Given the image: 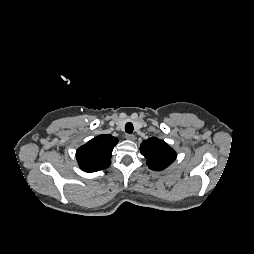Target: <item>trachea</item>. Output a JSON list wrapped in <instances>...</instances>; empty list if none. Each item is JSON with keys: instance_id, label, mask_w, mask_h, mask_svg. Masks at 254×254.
I'll return each instance as SVG.
<instances>
[{"instance_id": "1", "label": "trachea", "mask_w": 254, "mask_h": 254, "mask_svg": "<svg viewBox=\"0 0 254 254\" xmlns=\"http://www.w3.org/2000/svg\"><path fill=\"white\" fill-rule=\"evenodd\" d=\"M125 131L129 134H131L133 132V124L131 122H128L125 125Z\"/></svg>"}]
</instances>
